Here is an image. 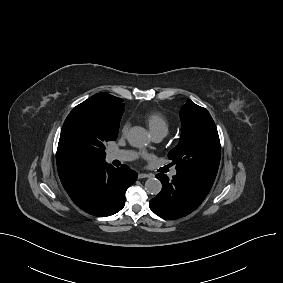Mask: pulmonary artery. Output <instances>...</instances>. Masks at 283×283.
<instances>
[{"instance_id": "1", "label": "pulmonary artery", "mask_w": 283, "mask_h": 283, "mask_svg": "<svg viewBox=\"0 0 283 283\" xmlns=\"http://www.w3.org/2000/svg\"><path fill=\"white\" fill-rule=\"evenodd\" d=\"M153 136L156 141H161L165 137V134L157 133V134H154ZM136 156H137L136 153L132 151H112L108 154V159L110 161H113V160L131 161L135 159ZM176 174H177L176 170H173L171 173L172 176H175Z\"/></svg>"}]
</instances>
